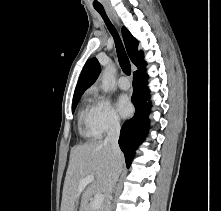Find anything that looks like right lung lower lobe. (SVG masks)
I'll use <instances>...</instances> for the list:
<instances>
[{
    "instance_id": "98d812e1",
    "label": "right lung lower lobe",
    "mask_w": 221,
    "mask_h": 211,
    "mask_svg": "<svg viewBox=\"0 0 221 211\" xmlns=\"http://www.w3.org/2000/svg\"><path fill=\"white\" fill-rule=\"evenodd\" d=\"M147 79L144 68L134 72L132 102L136 112L133 118L125 121L119 137V146L124 152L127 167L130 166L135 150L144 140L149 128L148 114L151 103L147 102L149 98V89L146 87Z\"/></svg>"
}]
</instances>
